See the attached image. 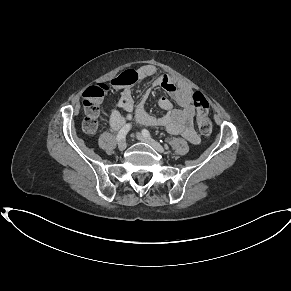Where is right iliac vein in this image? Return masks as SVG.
<instances>
[{
  "label": "right iliac vein",
  "mask_w": 291,
  "mask_h": 291,
  "mask_svg": "<svg viewBox=\"0 0 291 291\" xmlns=\"http://www.w3.org/2000/svg\"><path fill=\"white\" fill-rule=\"evenodd\" d=\"M126 146H127V143L125 140H121L119 143H118V148L119 150L123 151L126 149Z\"/></svg>",
  "instance_id": "1"
}]
</instances>
